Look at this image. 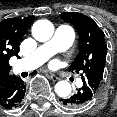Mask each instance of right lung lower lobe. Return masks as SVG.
Returning <instances> with one entry per match:
<instances>
[{"label":"right lung lower lobe","instance_id":"obj_1","mask_svg":"<svg viewBox=\"0 0 117 117\" xmlns=\"http://www.w3.org/2000/svg\"><path fill=\"white\" fill-rule=\"evenodd\" d=\"M25 91L24 82L20 78L12 76L0 89V107L12 109L19 106L24 99Z\"/></svg>","mask_w":117,"mask_h":117}]
</instances>
